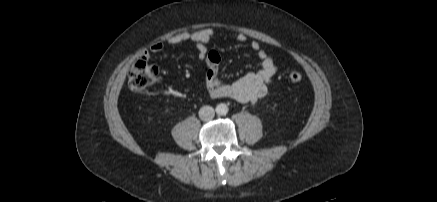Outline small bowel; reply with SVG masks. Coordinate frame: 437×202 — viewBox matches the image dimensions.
Listing matches in <instances>:
<instances>
[{"label": "small bowel", "instance_id": "1", "mask_svg": "<svg viewBox=\"0 0 437 202\" xmlns=\"http://www.w3.org/2000/svg\"><path fill=\"white\" fill-rule=\"evenodd\" d=\"M216 37L214 30L205 28L193 32H181L169 36L166 43L178 45L192 42L197 46V58L207 65L206 87L211 98H230L240 103H254L263 98L268 91L277 66L273 58L263 49L258 41L250 43L251 49L260 60V69L248 72L231 82L225 81L220 75V56L215 50H209L207 44ZM236 40L246 42L245 34H238ZM164 49L162 42H155L140 54L141 60H148L151 55L158 54Z\"/></svg>", "mask_w": 437, "mask_h": 202}]
</instances>
